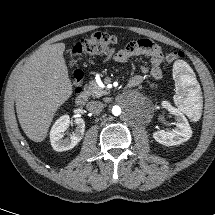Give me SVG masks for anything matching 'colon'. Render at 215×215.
<instances>
[{
	"mask_svg": "<svg viewBox=\"0 0 215 215\" xmlns=\"http://www.w3.org/2000/svg\"><path fill=\"white\" fill-rule=\"evenodd\" d=\"M117 43L118 39L115 36L97 32L88 38L78 41L73 48V53L76 57L104 54L110 51V49ZM183 57L184 55L182 52H171L166 55V61L173 62ZM73 76L75 86L74 91L77 94L81 91L80 83L83 76L79 71H75Z\"/></svg>",
	"mask_w": 215,
	"mask_h": 215,
	"instance_id": "obj_1",
	"label": "colon"
}]
</instances>
